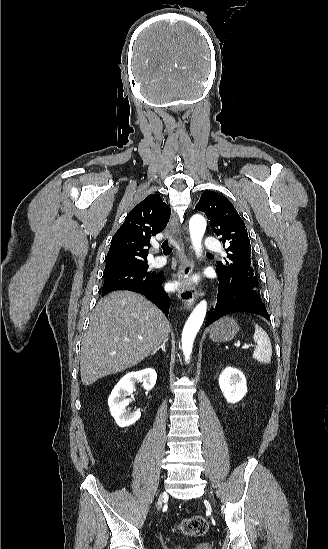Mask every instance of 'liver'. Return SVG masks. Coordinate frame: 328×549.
I'll return each mask as SVG.
<instances>
[{
    "instance_id": "6515ba94",
    "label": "liver",
    "mask_w": 328,
    "mask_h": 549,
    "mask_svg": "<svg viewBox=\"0 0 328 549\" xmlns=\"http://www.w3.org/2000/svg\"><path fill=\"white\" fill-rule=\"evenodd\" d=\"M170 325L162 311L138 293L115 291L98 301L82 339L83 385L141 363L163 341ZM143 337V339H138Z\"/></svg>"
}]
</instances>
